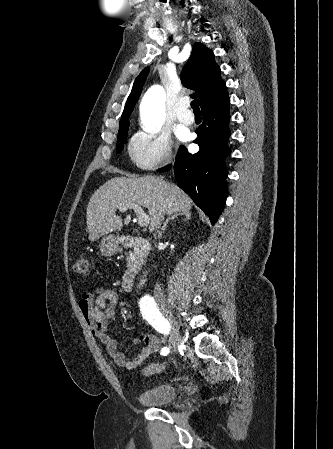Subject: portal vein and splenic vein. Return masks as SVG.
Segmentation results:
<instances>
[{"mask_svg":"<svg viewBox=\"0 0 333 449\" xmlns=\"http://www.w3.org/2000/svg\"><path fill=\"white\" fill-rule=\"evenodd\" d=\"M132 208L134 210V212L136 213L137 217H138V224L141 227H145L148 226L149 222H150V218L148 215H146L143 211V209L141 208V206H139L138 204H134V203H128L124 206H120L119 210L120 211H126L127 209Z\"/></svg>","mask_w":333,"mask_h":449,"instance_id":"18ae733b","label":"portal vein and splenic vein"}]
</instances>
